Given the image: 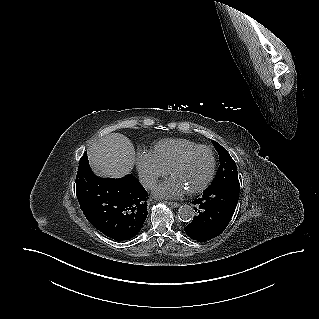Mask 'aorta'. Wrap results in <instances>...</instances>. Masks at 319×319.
<instances>
[{"label":"aorta","instance_id":"762f6f07","mask_svg":"<svg viewBox=\"0 0 319 319\" xmlns=\"http://www.w3.org/2000/svg\"><path fill=\"white\" fill-rule=\"evenodd\" d=\"M194 215V209L187 204L182 205L178 210V218L182 222H190Z\"/></svg>","mask_w":319,"mask_h":319}]
</instances>
